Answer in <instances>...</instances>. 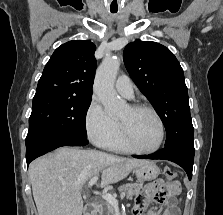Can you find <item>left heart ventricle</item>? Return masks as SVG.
<instances>
[{
  "mask_svg": "<svg viewBox=\"0 0 223 215\" xmlns=\"http://www.w3.org/2000/svg\"><path fill=\"white\" fill-rule=\"evenodd\" d=\"M118 120L125 124L130 140L136 148L145 150L156 145L159 138L158 124L148 111H134L127 107Z\"/></svg>",
  "mask_w": 223,
  "mask_h": 215,
  "instance_id": "left-heart-ventricle-1",
  "label": "left heart ventricle"
}]
</instances>
